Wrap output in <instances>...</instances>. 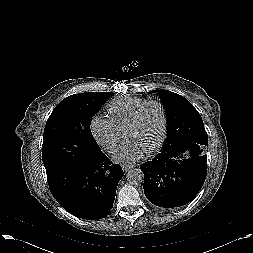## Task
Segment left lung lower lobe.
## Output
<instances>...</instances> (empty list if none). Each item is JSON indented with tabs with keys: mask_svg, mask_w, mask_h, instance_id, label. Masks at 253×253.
<instances>
[{
	"mask_svg": "<svg viewBox=\"0 0 253 253\" xmlns=\"http://www.w3.org/2000/svg\"><path fill=\"white\" fill-rule=\"evenodd\" d=\"M206 161L205 146L195 142L162 148L151 161L140 166L145 196L165 209L189 203L205 182Z\"/></svg>",
	"mask_w": 253,
	"mask_h": 253,
	"instance_id": "obj_1",
	"label": "left lung lower lobe"
}]
</instances>
